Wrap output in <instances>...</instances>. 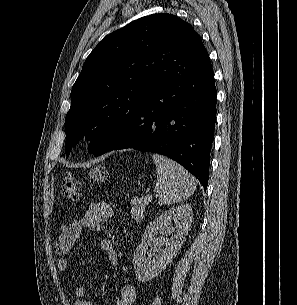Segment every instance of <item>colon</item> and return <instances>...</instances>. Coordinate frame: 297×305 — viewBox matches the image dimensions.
Listing matches in <instances>:
<instances>
[{
	"mask_svg": "<svg viewBox=\"0 0 297 305\" xmlns=\"http://www.w3.org/2000/svg\"><path fill=\"white\" fill-rule=\"evenodd\" d=\"M108 180V173L104 166H97L90 170L87 181L89 183H102ZM80 181L73 175L66 176L61 184L62 196L67 201H77L80 198Z\"/></svg>",
	"mask_w": 297,
	"mask_h": 305,
	"instance_id": "colon-1",
	"label": "colon"
}]
</instances>
